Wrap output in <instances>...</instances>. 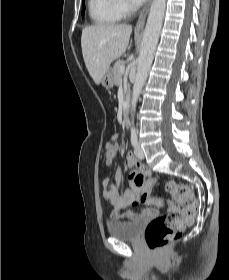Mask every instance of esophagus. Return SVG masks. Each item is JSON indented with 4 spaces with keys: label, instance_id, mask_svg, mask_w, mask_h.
<instances>
[{
    "label": "esophagus",
    "instance_id": "1",
    "mask_svg": "<svg viewBox=\"0 0 229 280\" xmlns=\"http://www.w3.org/2000/svg\"><path fill=\"white\" fill-rule=\"evenodd\" d=\"M152 0H148L144 8L142 9L140 16L138 18V21L136 23V30H141L144 27L147 14L149 12L150 6H151Z\"/></svg>",
    "mask_w": 229,
    "mask_h": 280
}]
</instances>
